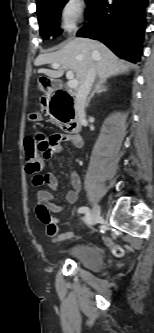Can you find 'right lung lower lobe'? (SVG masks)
Masks as SVG:
<instances>
[{
	"instance_id": "98d812e1",
	"label": "right lung lower lobe",
	"mask_w": 154,
	"mask_h": 333,
	"mask_svg": "<svg viewBox=\"0 0 154 333\" xmlns=\"http://www.w3.org/2000/svg\"><path fill=\"white\" fill-rule=\"evenodd\" d=\"M148 0H96L87 15L89 22L78 36L98 39L116 55L140 61Z\"/></svg>"
}]
</instances>
